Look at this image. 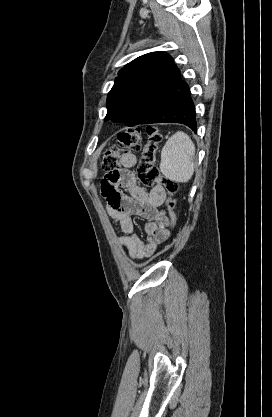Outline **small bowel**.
<instances>
[{"mask_svg":"<svg viewBox=\"0 0 272 417\" xmlns=\"http://www.w3.org/2000/svg\"><path fill=\"white\" fill-rule=\"evenodd\" d=\"M121 162V169L105 175L101 182V192L107 202L109 216L118 224L122 233L118 243L128 250L130 258L138 260L151 256L169 237V219L160 209L166 199V192L160 185L153 186L149 191L139 185L137 174L132 170L137 165L134 154H124ZM121 189L127 190L128 195ZM133 216L147 220L145 240L135 232Z\"/></svg>","mask_w":272,"mask_h":417,"instance_id":"1","label":"small bowel"}]
</instances>
